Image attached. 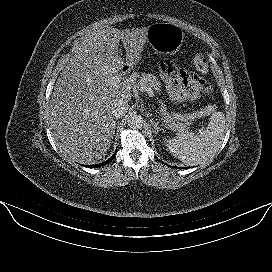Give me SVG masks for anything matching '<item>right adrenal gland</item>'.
Segmentation results:
<instances>
[{
    "label": "right adrenal gland",
    "instance_id": "2a0ac1e0",
    "mask_svg": "<svg viewBox=\"0 0 272 272\" xmlns=\"http://www.w3.org/2000/svg\"><path fill=\"white\" fill-rule=\"evenodd\" d=\"M117 120H118V118L115 119V123H116ZM114 132H115V131H114Z\"/></svg>",
    "mask_w": 272,
    "mask_h": 272
}]
</instances>
